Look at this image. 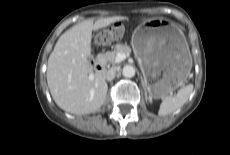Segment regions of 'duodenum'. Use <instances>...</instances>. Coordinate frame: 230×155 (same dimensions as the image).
Instances as JSON below:
<instances>
[{
  "label": "duodenum",
  "instance_id": "duodenum-1",
  "mask_svg": "<svg viewBox=\"0 0 230 155\" xmlns=\"http://www.w3.org/2000/svg\"><path fill=\"white\" fill-rule=\"evenodd\" d=\"M94 68L98 74H103L105 72V62L101 56L96 58Z\"/></svg>",
  "mask_w": 230,
  "mask_h": 155
}]
</instances>
